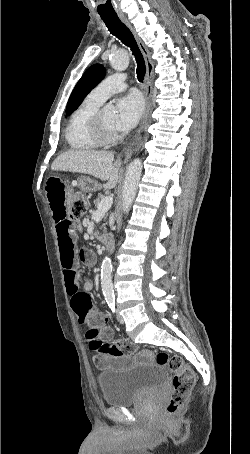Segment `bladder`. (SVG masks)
I'll use <instances>...</instances> for the list:
<instances>
[{
    "label": "bladder",
    "mask_w": 250,
    "mask_h": 454,
    "mask_svg": "<svg viewBox=\"0 0 250 454\" xmlns=\"http://www.w3.org/2000/svg\"><path fill=\"white\" fill-rule=\"evenodd\" d=\"M121 357L124 359L122 362L128 361V364L98 375V384L105 404L127 407L163 386L166 373L161 365L134 362L130 356Z\"/></svg>",
    "instance_id": "obj_1"
}]
</instances>
